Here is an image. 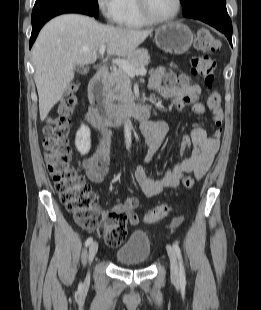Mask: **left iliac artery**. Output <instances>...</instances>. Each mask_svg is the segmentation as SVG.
<instances>
[{
	"label": "left iliac artery",
	"mask_w": 261,
	"mask_h": 310,
	"mask_svg": "<svg viewBox=\"0 0 261 310\" xmlns=\"http://www.w3.org/2000/svg\"><path fill=\"white\" fill-rule=\"evenodd\" d=\"M173 249L176 252V255H177L178 260H179L180 281H181V283H185L186 282V276H185V269H184V265H183V259H182L180 247L177 243H173Z\"/></svg>",
	"instance_id": "1"
}]
</instances>
